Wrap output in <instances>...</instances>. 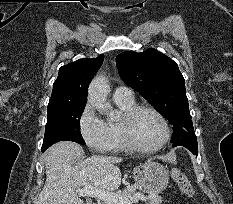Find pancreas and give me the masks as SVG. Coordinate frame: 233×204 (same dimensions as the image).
<instances>
[{"mask_svg":"<svg viewBox=\"0 0 233 204\" xmlns=\"http://www.w3.org/2000/svg\"><path fill=\"white\" fill-rule=\"evenodd\" d=\"M137 189H141V187L137 184L132 185L127 190H124L121 193V195L130 198L136 193ZM147 199H148L149 204H162V201H163L162 197H159L158 194H155V193H149Z\"/></svg>","mask_w":233,"mask_h":204,"instance_id":"pancreas-1","label":"pancreas"}]
</instances>
